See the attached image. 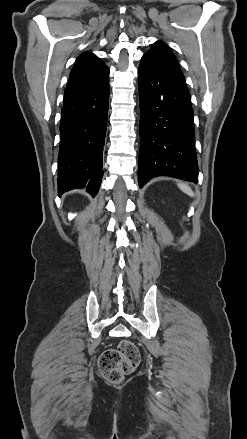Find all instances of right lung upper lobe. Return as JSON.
Masks as SVG:
<instances>
[{"label": "right lung upper lobe", "instance_id": "cb5924a9", "mask_svg": "<svg viewBox=\"0 0 247 439\" xmlns=\"http://www.w3.org/2000/svg\"><path fill=\"white\" fill-rule=\"evenodd\" d=\"M109 69L91 52L81 54L70 73L64 98L96 90L108 82Z\"/></svg>", "mask_w": 247, "mask_h": 439}]
</instances>
